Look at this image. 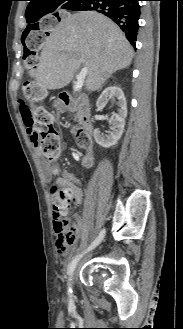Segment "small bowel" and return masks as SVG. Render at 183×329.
Segmentation results:
<instances>
[{
  "instance_id": "c3829d8e",
  "label": "small bowel",
  "mask_w": 183,
  "mask_h": 329,
  "mask_svg": "<svg viewBox=\"0 0 183 329\" xmlns=\"http://www.w3.org/2000/svg\"><path fill=\"white\" fill-rule=\"evenodd\" d=\"M23 119H24L25 125L27 126V133L31 138V142H32V144H35L34 141L32 140V133H31V129L28 124L29 114H23ZM63 180L71 183L75 203L78 205L81 204L83 202L84 194H83V191L81 190V188L72 184V182L75 181V177L70 173H64ZM74 219H75V221L73 223V226H74L75 230L77 232H79L83 229L82 220L78 216H75ZM53 225H54V230H55V233L57 236L56 242H55L56 249L59 254L64 255L66 253L68 244H71V243L68 242L67 234H66L65 230L63 229L61 222L55 217H54ZM72 243H74V242H72Z\"/></svg>"
}]
</instances>
